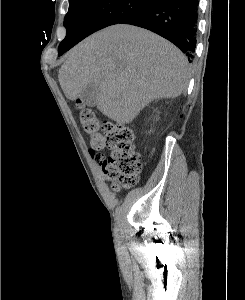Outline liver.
<instances>
[{"mask_svg": "<svg viewBox=\"0 0 245 300\" xmlns=\"http://www.w3.org/2000/svg\"><path fill=\"white\" fill-rule=\"evenodd\" d=\"M188 77L187 59L177 47L125 24L98 31L71 49L58 75L71 101L88 85H98L97 109L119 124L132 122L155 99L178 97Z\"/></svg>", "mask_w": 245, "mask_h": 300, "instance_id": "1", "label": "liver"}]
</instances>
